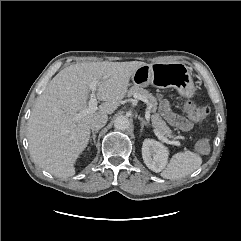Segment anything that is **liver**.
Returning a JSON list of instances; mask_svg holds the SVG:
<instances>
[{"mask_svg":"<svg viewBox=\"0 0 241 241\" xmlns=\"http://www.w3.org/2000/svg\"><path fill=\"white\" fill-rule=\"evenodd\" d=\"M145 62H83L61 70L38 98L28 121V142L34 163L58 178L75 174V163L90 138L91 120L112 114L125 97L130 78ZM98 81L96 97L104 101L88 108L89 83Z\"/></svg>","mask_w":241,"mask_h":241,"instance_id":"liver-1","label":"liver"}]
</instances>
